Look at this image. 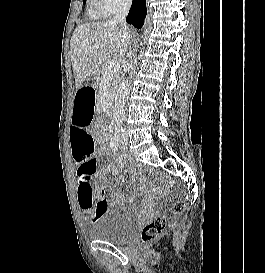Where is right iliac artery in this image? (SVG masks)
Instances as JSON below:
<instances>
[{
    "mask_svg": "<svg viewBox=\"0 0 265 273\" xmlns=\"http://www.w3.org/2000/svg\"><path fill=\"white\" fill-rule=\"evenodd\" d=\"M122 127L121 126H117L116 127V132L114 137L112 138L111 141V148L113 151H117L118 147H119V140H120V136H121V132H122Z\"/></svg>",
    "mask_w": 265,
    "mask_h": 273,
    "instance_id": "obj_1",
    "label": "right iliac artery"
}]
</instances>
